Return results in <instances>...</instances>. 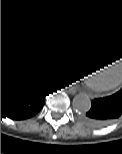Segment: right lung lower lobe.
<instances>
[{"mask_svg":"<svg viewBox=\"0 0 122 154\" xmlns=\"http://www.w3.org/2000/svg\"><path fill=\"white\" fill-rule=\"evenodd\" d=\"M51 49H43L41 61L22 74L1 76V116L24 120L36 115L45 104L47 91L57 86Z\"/></svg>","mask_w":122,"mask_h":154,"instance_id":"obj_1","label":"right lung lower lobe"}]
</instances>
